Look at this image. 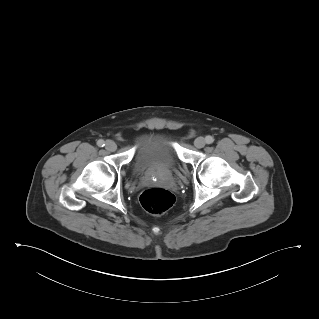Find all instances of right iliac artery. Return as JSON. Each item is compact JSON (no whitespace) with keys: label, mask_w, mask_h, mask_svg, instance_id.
I'll return each instance as SVG.
<instances>
[{"label":"right iliac artery","mask_w":319,"mask_h":319,"mask_svg":"<svg viewBox=\"0 0 319 319\" xmlns=\"http://www.w3.org/2000/svg\"><path fill=\"white\" fill-rule=\"evenodd\" d=\"M97 145H98L99 147L105 146L104 140H99V141L97 142Z\"/></svg>","instance_id":"obj_1"}]
</instances>
